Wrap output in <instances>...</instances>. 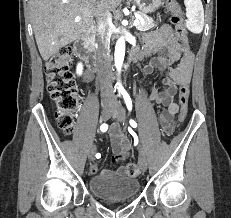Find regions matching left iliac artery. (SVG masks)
<instances>
[{"label": "left iliac artery", "mask_w": 231, "mask_h": 218, "mask_svg": "<svg viewBox=\"0 0 231 218\" xmlns=\"http://www.w3.org/2000/svg\"><path fill=\"white\" fill-rule=\"evenodd\" d=\"M122 95L124 97V100H125V103H126L128 110L131 111L132 110V101H131L129 94L126 91H123ZM130 125L132 127H137V123L134 120H130Z\"/></svg>", "instance_id": "left-iliac-artery-1"}]
</instances>
